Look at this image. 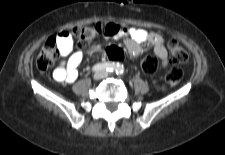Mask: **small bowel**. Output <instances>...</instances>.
<instances>
[{
  "mask_svg": "<svg viewBox=\"0 0 225 155\" xmlns=\"http://www.w3.org/2000/svg\"><path fill=\"white\" fill-rule=\"evenodd\" d=\"M108 25L114 30L106 32L105 36L113 39L125 38V45L131 56H139L142 52V44L148 43L153 47L154 54L160 61V67L162 69L168 67V52L165 47L164 37L161 34L149 32L137 27L127 28L112 23ZM56 44L59 48L61 62L54 69L53 77L58 82L72 83L78 77L77 68L82 60L83 54L81 51L73 50V40L67 31L57 33Z\"/></svg>",
  "mask_w": 225,
  "mask_h": 155,
  "instance_id": "1",
  "label": "small bowel"
}]
</instances>
